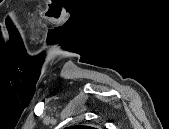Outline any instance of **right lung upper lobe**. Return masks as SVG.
I'll return each instance as SVG.
<instances>
[{
  "instance_id": "right-lung-upper-lobe-1",
  "label": "right lung upper lobe",
  "mask_w": 169,
  "mask_h": 129,
  "mask_svg": "<svg viewBox=\"0 0 169 129\" xmlns=\"http://www.w3.org/2000/svg\"><path fill=\"white\" fill-rule=\"evenodd\" d=\"M82 126H73V128H81Z\"/></svg>"
}]
</instances>
